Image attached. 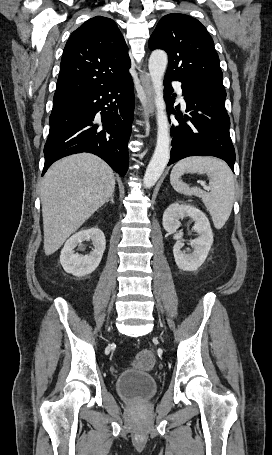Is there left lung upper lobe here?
I'll list each match as a JSON object with an SVG mask.
<instances>
[{
	"label": "left lung upper lobe",
	"instance_id": "obj_1",
	"mask_svg": "<svg viewBox=\"0 0 272 455\" xmlns=\"http://www.w3.org/2000/svg\"><path fill=\"white\" fill-rule=\"evenodd\" d=\"M149 48L167 52V75H189L223 82L213 39L206 28L191 16L179 13L163 16L149 39Z\"/></svg>",
	"mask_w": 272,
	"mask_h": 455
}]
</instances>
